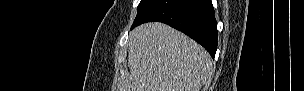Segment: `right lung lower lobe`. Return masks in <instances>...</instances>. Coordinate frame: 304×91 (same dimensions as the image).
Masks as SVG:
<instances>
[{
	"mask_svg": "<svg viewBox=\"0 0 304 91\" xmlns=\"http://www.w3.org/2000/svg\"><path fill=\"white\" fill-rule=\"evenodd\" d=\"M153 21L166 23L187 34L214 58L217 22L211 0H152L135 18L131 29Z\"/></svg>",
	"mask_w": 304,
	"mask_h": 91,
	"instance_id": "obj_1",
	"label": "right lung lower lobe"
}]
</instances>
